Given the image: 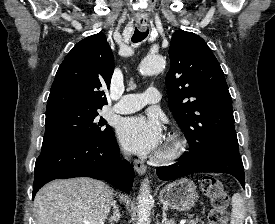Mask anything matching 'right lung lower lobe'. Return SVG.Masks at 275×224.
<instances>
[{
  "label": "right lung lower lobe",
  "instance_id": "obj_1",
  "mask_svg": "<svg viewBox=\"0 0 275 224\" xmlns=\"http://www.w3.org/2000/svg\"><path fill=\"white\" fill-rule=\"evenodd\" d=\"M33 198L46 183L59 178L92 177L129 192L134 170L121 161L114 132L95 142H46L34 169Z\"/></svg>",
  "mask_w": 275,
  "mask_h": 224
}]
</instances>
